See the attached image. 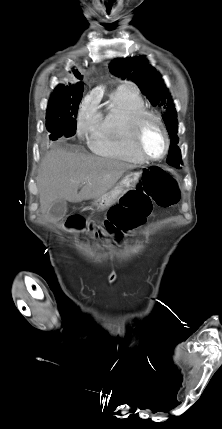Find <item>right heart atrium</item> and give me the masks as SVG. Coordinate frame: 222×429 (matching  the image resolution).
Returning <instances> with one entry per match:
<instances>
[{
    "instance_id": "1",
    "label": "right heart atrium",
    "mask_w": 222,
    "mask_h": 429,
    "mask_svg": "<svg viewBox=\"0 0 222 429\" xmlns=\"http://www.w3.org/2000/svg\"><path fill=\"white\" fill-rule=\"evenodd\" d=\"M102 120L98 100L95 96L86 97L79 106L77 114V134L84 138L92 135Z\"/></svg>"
}]
</instances>
